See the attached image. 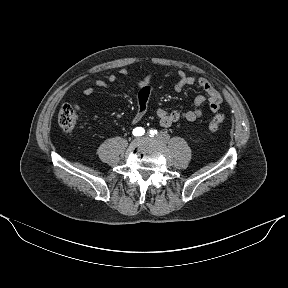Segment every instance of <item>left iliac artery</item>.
Wrapping results in <instances>:
<instances>
[{"label":"left iliac artery","instance_id":"1","mask_svg":"<svg viewBox=\"0 0 288 288\" xmlns=\"http://www.w3.org/2000/svg\"><path fill=\"white\" fill-rule=\"evenodd\" d=\"M149 134H150V136H154L157 134V130L151 129Z\"/></svg>","mask_w":288,"mask_h":288}]
</instances>
